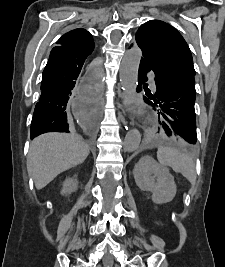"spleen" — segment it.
I'll return each mask as SVG.
<instances>
[{
	"instance_id": "obj_1",
	"label": "spleen",
	"mask_w": 225,
	"mask_h": 267,
	"mask_svg": "<svg viewBox=\"0 0 225 267\" xmlns=\"http://www.w3.org/2000/svg\"><path fill=\"white\" fill-rule=\"evenodd\" d=\"M157 159L162 166H169L176 173H181L189 182H195V164L190 156L169 146H160L157 151Z\"/></svg>"
}]
</instances>
